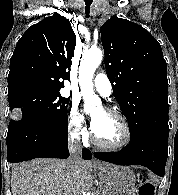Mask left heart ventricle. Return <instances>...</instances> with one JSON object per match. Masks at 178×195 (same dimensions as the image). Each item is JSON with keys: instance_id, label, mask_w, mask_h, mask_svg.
<instances>
[{"instance_id": "obj_1", "label": "left heart ventricle", "mask_w": 178, "mask_h": 195, "mask_svg": "<svg viewBox=\"0 0 178 195\" xmlns=\"http://www.w3.org/2000/svg\"><path fill=\"white\" fill-rule=\"evenodd\" d=\"M96 123L94 133L97 138L106 144H117L124 138L125 132L120 121L100 109L92 116Z\"/></svg>"}]
</instances>
